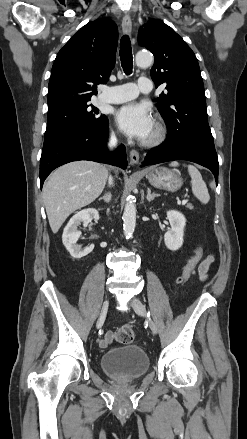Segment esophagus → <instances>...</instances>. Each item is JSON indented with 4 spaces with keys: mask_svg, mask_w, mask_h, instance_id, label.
<instances>
[{
    "mask_svg": "<svg viewBox=\"0 0 247 439\" xmlns=\"http://www.w3.org/2000/svg\"><path fill=\"white\" fill-rule=\"evenodd\" d=\"M122 30L125 34H131L132 31V21L129 15H125L122 20ZM130 161L132 164H138L139 153L136 150L130 151Z\"/></svg>",
    "mask_w": 247,
    "mask_h": 439,
    "instance_id": "1",
    "label": "esophagus"
}]
</instances>
